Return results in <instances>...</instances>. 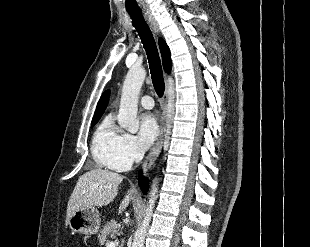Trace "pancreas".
Listing matches in <instances>:
<instances>
[{"label":"pancreas","mask_w":310,"mask_h":247,"mask_svg":"<svg viewBox=\"0 0 310 247\" xmlns=\"http://www.w3.org/2000/svg\"><path fill=\"white\" fill-rule=\"evenodd\" d=\"M119 229H120V225L117 224L116 221L114 220H111L110 222H108L106 224V226L103 228V230L101 231V234L99 235V242L101 245L103 244H107L108 241H107V237L108 236H115L118 234L119 232Z\"/></svg>","instance_id":"obj_1"}]
</instances>
